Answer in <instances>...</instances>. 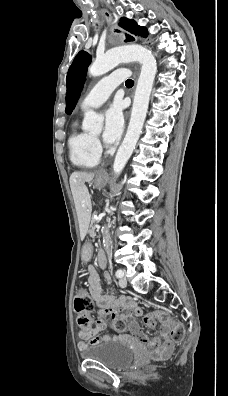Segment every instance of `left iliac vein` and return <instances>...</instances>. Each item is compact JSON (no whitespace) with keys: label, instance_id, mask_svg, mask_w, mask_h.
<instances>
[{"label":"left iliac vein","instance_id":"left-iliac-vein-1","mask_svg":"<svg viewBox=\"0 0 228 396\" xmlns=\"http://www.w3.org/2000/svg\"><path fill=\"white\" fill-rule=\"evenodd\" d=\"M119 286L121 288H125L127 286V279L124 276L119 280Z\"/></svg>","mask_w":228,"mask_h":396}]
</instances>
